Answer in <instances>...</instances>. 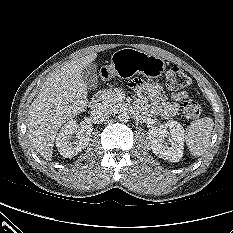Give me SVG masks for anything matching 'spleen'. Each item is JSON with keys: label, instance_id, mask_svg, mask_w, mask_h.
Instances as JSON below:
<instances>
[{"label": "spleen", "instance_id": "obj_1", "mask_svg": "<svg viewBox=\"0 0 233 233\" xmlns=\"http://www.w3.org/2000/svg\"><path fill=\"white\" fill-rule=\"evenodd\" d=\"M214 122L211 117L197 119L187 128L185 141L193 156H201L209 146Z\"/></svg>", "mask_w": 233, "mask_h": 233}]
</instances>
